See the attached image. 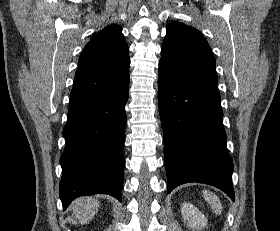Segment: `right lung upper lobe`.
Returning a JSON list of instances; mask_svg holds the SVG:
<instances>
[{
  "mask_svg": "<svg viewBox=\"0 0 280 231\" xmlns=\"http://www.w3.org/2000/svg\"><path fill=\"white\" fill-rule=\"evenodd\" d=\"M116 24L97 32L81 53L70 105L87 102L129 86L128 45Z\"/></svg>",
  "mask_w": 280,
  "mask_h": 231,
  "instance_id": "right-lung-upper-lobe-1",
  "label": "right lung upper lobe"
}]
</instances>
